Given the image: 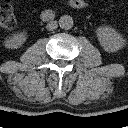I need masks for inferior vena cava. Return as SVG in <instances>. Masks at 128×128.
<instances>
[{"mask_svg":"<svg viewBox=\"0 0 128 128\" xmlns=\"http://www.w3.org/2000/svg\"><path fill=\"white\" fill-rule=\"evenodd\" d=\"M57 27H58L57 21H50V22L47 24V26H46V28H47L48 30H50V31L57 29Z\"/></svg>","mask_w":128,"mask_h":128,"instance_id":"inferior-vena-cava-1","label":"inferior vena cava"}]
</instances>
